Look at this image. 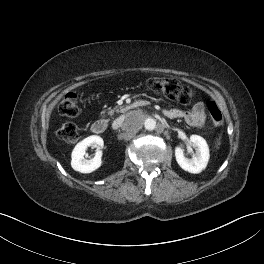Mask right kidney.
Instances as JSON below:
<instances>
[{
	"label": "right kidney",
	"mask_w": 264,
	"mask_h": 264,
	"mask_svg": "<svg viewBox=\"0 0 264 264\" xmlns=\"http://www.w3.org/2000/svg\"><path fill=\"white\" fill-rule=\"evenodd\" d=\"M104 142L103 139L100 136L92 135L84 140L80 141L75 148L72 151L71 157V166L75 171L81 172V173H91L95 170H97L101 164V148H103ZM89 146L97 147L96 155L93 159L87 160L84 158L85 150Z\"/></svg>",
	"instance_id": "obj_1"
}]
</instances>
